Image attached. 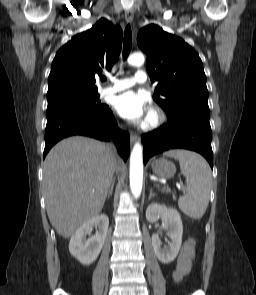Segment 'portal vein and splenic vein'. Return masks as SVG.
I'll list each match as a JSON object with an SVG mask.
<instances>
[{"mask_svg":"<svg viewBox=\"0 0 256 295\" xmlns=\"http://www.w3.org/2000/svg\"><path fill=\"white\" fill-rule=\"evenodd\" d=\"M177 186L180 188L181 187V185L180 184H177Z\"/></svg>","mask_w":256,"mask_h":295,"instance_id":"1","label":"portal vein and splenic vein"}]
</instances>
